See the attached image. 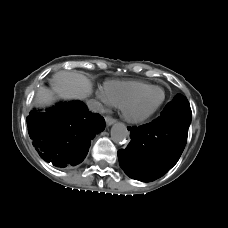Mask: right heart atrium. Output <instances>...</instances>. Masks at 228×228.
<instances>
[{
	"label": "right heart atrium",
	"instance_id": "d8ad5b80",
	"mask_svg": "<svg viewBox=\"0 0 228 228\" xmlns=\"http://www.w3.org/2000/svg\"><path fill=\"white\" fill-rule=\"evenodd\" d=\"M101 98L105 103H108L104 97H101Z\"/></svg>",
	"mask_w": 228,
	"mask_h": 228
}]
</instances>
